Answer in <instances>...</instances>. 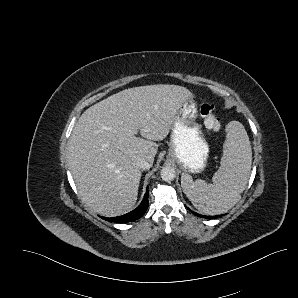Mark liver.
I'll list each match as a JSON object with an SVG mask.
<instances>
[{
	"instance_id": "6515ba94",
	"label": "liver",
	"mask_w": 298,
	"mask_h": 298,
	"mask_svg": "<svg viewBox=\"0 0 298 298\" xmlns=\"http://www.w3.org/2000/svg\"><path fill=\"white\" fill-rule=\"evenodd\" d=\"M193 98L184 86L153 84L122 90L85 110L68 148L82 201L103 216L130 211L142 175L137 160L154 162L155 141L168 136L180 105Z\"/></svg>"
}]
</instances>
